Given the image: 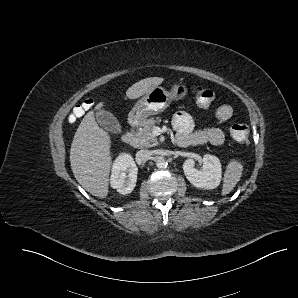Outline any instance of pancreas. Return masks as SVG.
Masks as SVG:
<instances>
[{
	"mask_svg": "<svg viewBox=\"0 0 298 298\" xmlns=\"http://www.w3.org/2000/svg\"><path fill=\"white\" fill-rule=\"evenodd\" d=\"M161 118H149L140 124L136 130L133 146L136 148H150L158 145V139L153 135V129L157 124H160Z\"/></svg>",
	"mask_w": 298,
	"mask_h": 298,
	"instance_id": "obj_1",
	"label": "pancreas"
}]
</instances>
